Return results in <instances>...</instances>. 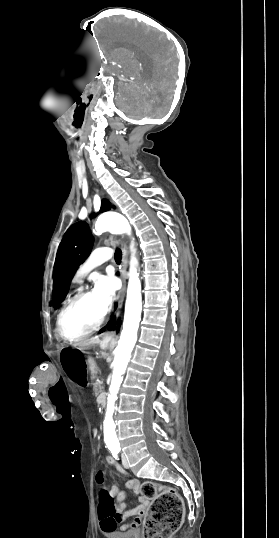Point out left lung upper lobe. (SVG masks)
Here are the masks:
<instances>
[{
    "instance_id": "5c2ea615",
    "label": "left lung upper lobe",
    "mask_w": 279,
    "mask_h": 538,
    "mask_svg": "<svg viewBox=\"0 0 279 538\" xmlns=\"http://www.w3.org/2000/svg\"><path fill=\"white\" fill-rule=\"evenodd\" d=\"M111 208L108 200H103L101 212ZM93 237L89 226L84 221L75 223L64 234L58 248L53 283V299L50 306L58 307L68 293L71 279L78 266L89 256Z\"/></svg>"
}]
</instances>
